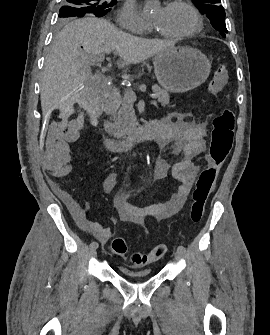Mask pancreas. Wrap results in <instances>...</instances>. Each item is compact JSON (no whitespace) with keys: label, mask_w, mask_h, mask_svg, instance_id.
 <instances>
[{"label":"pancreas","mask_w":270,"mask_h":335,"mask_svg":"<svg viewBox=\"0 0 270 335\" xmlns=\"http://www.w3.org/2000/svg\"><path fill=\"white\" fill-rule=\"evenodd\" d=\"M152 90L154 94H156V98H158V102H160L161 106L165 108L168 106L170 96L166 90L154 84L152 86ZM132 124H136V118L134 116L133 110H127V108H123V110H119L116 118L115 124H113L112 130H110V134H113L114 138H122V136H126V134H130L132 128Z\"/></svg>","instance_id":"obj_1"}]
</instances>
